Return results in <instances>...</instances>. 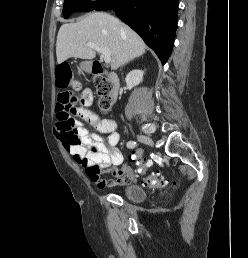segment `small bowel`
Wrapping results in <instances>:
<instances>
[{
    "label": "small bowel",
    "mask_w": 248,
    "mask_h": 258,
    "mask_svg": "<svg viewBox=\"0 0 248 258\" xmlns=\"http://www.w3.org/2000/svg\"><path fill=\"white\" fill-rule=\"evenodd\" d=\"M93 99L94 96L90 89L84 88L81 90L77 94V104L74 106V114L88 122L97 131V134L90 133L80 121H74L73 123L78 136L77 143H73L67 138L58 123L56 125V132L65 150L78 163H81L85 168L98 165L102 170H107L112 166L123 164V154L117 147L120 136L116 131L117 125L114 120L102 119L90 109ZM101 134H106L107 137L104 139L101 137ZM90 146H94L97 152L94 154L89 153L87 147ZM113 175L116 178L115 180H95L97 187L105 189L126 186L136 180V175L131 172V169L127 165H122L120 169L114 170Z\"/></svg>",
    "instance_id": "obj_1"
}]
</instances>
